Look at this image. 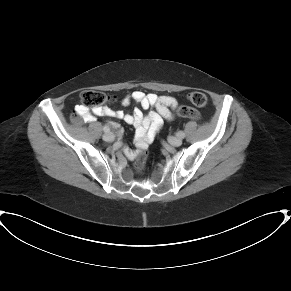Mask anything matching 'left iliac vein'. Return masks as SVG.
Masks as SVG:
<instances>
[{
	"label": "left iliac vein",
	"mask_w": 291,
	"mask_h": 291,
	"mask_svg": "<svg viewBox=\"0 0 291 291\" xmlns=\"http://www.w3.org/2000/svg\"><path fill=\"white\" fill-rule=\"evenodd\" d=\"M168 142L173 146H180L182 144V139L178 137L171 136L168 138Z\"/></svg>",
	"instance_id": "obj_1"
}]
</instances>
